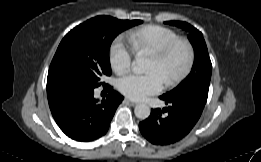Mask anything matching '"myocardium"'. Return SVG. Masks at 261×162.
<instances>
[{"label":"myocardium","instance_id":"f54148a6","mask_svg":"<svg viewBox=\"0 0 261 162\" xmlns=\"http://www.w3.org/2000/svg\"><path fill=\"white\" fill-rule=\"evenodd\" d=\"M178 48H183L185 50L186 61H185L183 68L180 70V72H178L177 74H175L174 76H172L170 79H168L165 82L167 87L176 86L181 81H183L188 76V74L191 72L192 67L194 65V61H195L194 48L187 39L179 38V39L165 45L161 49L153 51L151 53V56L157 58L160 61H165Z\"/></svg>","mask_w":261,"mask_h":162}]
</instances>
